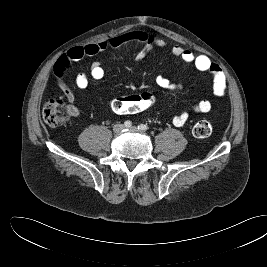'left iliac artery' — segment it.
Wrapping results in <instances>:
<instances>
[{"mask_svg":"<svg viewBox=\"0 0 267 267\" xmlns=\"http://www.w3.org/2000/svg\"><path fill=\"white\" fill-rule=\"evenodd\" d=\"M138 129L140 130H147L148 129V126L144 125V124H141L138 126Z\"/></svg>","mask_w":267,"mask_h":267,"instance_id":"1","label":"left iliac artery"}]
</instances>
